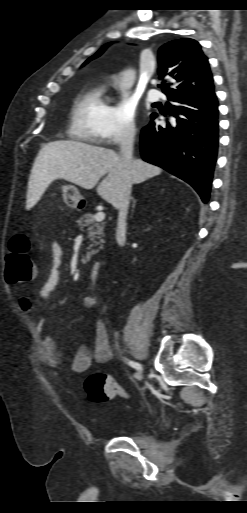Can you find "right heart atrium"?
I'll return each mask as SVG.
<instances>
[{
    "label": "right heart atrium",
    "mask_w": 247,
    "mask_h": 513,
    "mask_svg": "<svg viewBox=\"0 0 247 513\" xmlns=\"http://www.w3.org/2000/svg\"><path fill=\"white\" fill-rule=\"evenodd\" d=\"M136 133V104L122 92L107 113L103 143L113 146L131 140Z\"/></svg>",
    "instance_id": "obj_1"
}]
</instances>
